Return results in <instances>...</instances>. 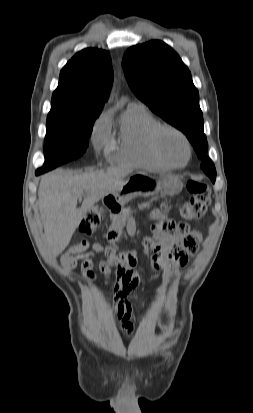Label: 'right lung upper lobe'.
<instances>
[{"label":"right lung upper lobe","instance_id":"obj_1","mask_svg":"<svg viewBox=\"0 0 253 413\" xmlns=\"http://www.w3.org/2000/svg\"><path fill=\"white\" fill-rule=\"evenodd\" d=\"M112 81L107 51L89 48L78 52L61 70L48 117L99 116Z\"/></svg>","mask_w":253,"mask_h":413}]
</instances>
